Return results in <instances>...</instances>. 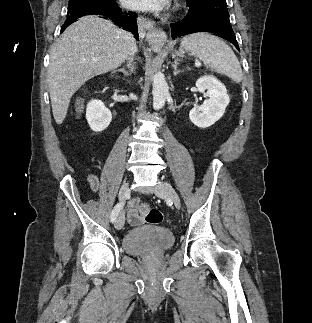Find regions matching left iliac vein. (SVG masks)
<instances>
[{"instance_id": "obj_1", "label": "left iliac vein", "mask_w": 312, "mask_h": 323, "mask_svg": "<svg viewBox=\"0 0 312 323\" xmlns=\"http://www.w3.org/2000/svg\"><path fill=\"white\" fill-rule=\"evenodd\" d=\"M156 195H166L169 200L173 202L177 209L181 208L180 198L175 191V189L168 183L162 182L160 185H157L154 189Z\"/></svg>"}]
</instances>
